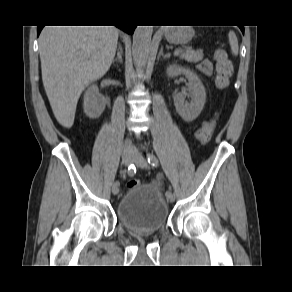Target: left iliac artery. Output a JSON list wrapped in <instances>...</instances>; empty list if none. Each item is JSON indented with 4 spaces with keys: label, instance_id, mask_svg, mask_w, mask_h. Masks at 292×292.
Returning <instances> with one entry per match:
<instances>
[{
    "label": "left iliac artery",
    "instance_id": "obj_1",
    "mask_svg": "<svg viewBox=\"0 0 292 292\" xmlns=\"http://www.w3.org/2000/svg\"><path fill=\"white\" fill-rule=\"evenodd\" d=\"M147 160L149 164H151L153 167H157L159 165L157 157L152 153H147ZM171 192V189L166 191V195H168Z\"/></svg>",
    "mask_w": 292,
    "mask_h": 292
}]
</instances>
